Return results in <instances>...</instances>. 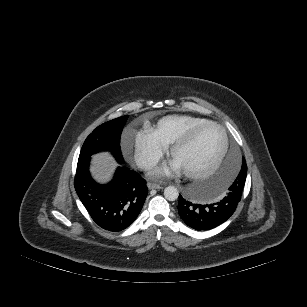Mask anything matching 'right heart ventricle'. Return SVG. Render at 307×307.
<instances>
[{"label": "right heart ventricle", "mask_w": 307, "mask_h": 307, "mask_svg": "<svg viewBox=\"0 0 307 307\" xmlns=\"http://www.w3.org/2000/svg\"><path fill=\"white\" fill-rule=\"evenodd\" d=\"M209 121L206 118L193 115H167L158 120L153 134L166 146L172 145L192 127Z\"/></svg>", "instance_id": "e07e8e85"}]
</instances>
